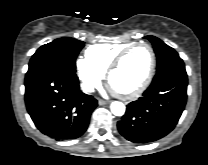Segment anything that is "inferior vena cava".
<instances>
[{"instance_id":"602c4592","label":"inferior vena cava","mask_w":208,"mask_h":165,"mask_svg":"<svg viewBox=\"0 0 208 165\" xmlns=\"http://www.w3.org/2000/svg\"><path fill=\"white\" fill-rule=\"evenodd\" d=\"M81 89L83 92L88 93V92H94V85L92 83H82L81 84Z\"/></svg>"}]
</instances>
